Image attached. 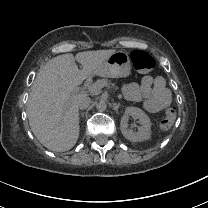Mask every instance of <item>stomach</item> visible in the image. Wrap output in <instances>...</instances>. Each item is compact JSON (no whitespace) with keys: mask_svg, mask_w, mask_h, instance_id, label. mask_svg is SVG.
<instances>
[{"mask_svg":"<svg viewBox=\"0 0 208 208\" xmlns=\"http://www.w3.org/2000/svg\"><path fill=\"white\" fill-rule=\"evenodd\" d=\"M131 73L130 59L126 52L116 51L99 63L94 74L102 77H128Z\"/></svg>","mask_w":208,"mask_h":208,"instance_id":"obj_1","label":"stomach"}]
</instances>
